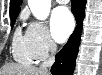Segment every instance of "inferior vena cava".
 <instances>
[{
    "label": "inferior vena cava",
    "mask_w": 102,
    "mask_h": 75,
    "mask_svg": "<svg viewBox=\"0 0 102 75\" xmlns=\"http://www.w3.org/2000/svg\"><path fill=\"white\" fill-rule=\"evenodd\" d=\"M56 49H57L56 43L51 41L50 42L51 57L48 60H45L44 62H42L39 69H41L43 71H47V68L51 67L54 64V62H55L54 54L56 52Z\"/></svg>",
    "instance_id": "602c4592"
}]
</instances>
